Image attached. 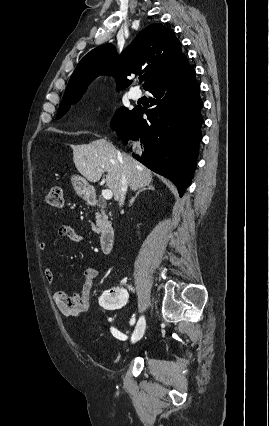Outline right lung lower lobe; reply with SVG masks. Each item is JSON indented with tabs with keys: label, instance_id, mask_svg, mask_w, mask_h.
I'll return each mask as SVG.
<instances>
[{
	"label": "right lung lower lobe",
	"instance_id": "98d812e1",
	"mask_svg": "<svg viewBox=\"0 0 269 426\" xmlns=\"http://www.w3.org/2000/svg\"><path fill=\"white\" fill-rule=\"evenodd\" d=\"M147 91L154 96L151 105L156 107L146 112L135 107L116 131L124 143L140 139L145 151L133 157L170 179L182 196L192 180L202 139L203 103L195 70L189 65Z\"/></svg>",
	"mask_w": 269,
	"mask_h": 426
}]
</instances>
